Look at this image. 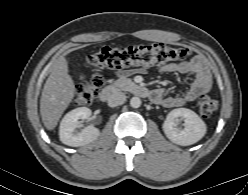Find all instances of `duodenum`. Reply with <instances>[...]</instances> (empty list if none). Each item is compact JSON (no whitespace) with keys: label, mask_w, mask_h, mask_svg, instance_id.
Wrapping results in <instances>:
<instances>
[{"label":"duodenum","mask_w":248,"mask_h":195,"mask_svg":"<svg viewBox=\"0 0 248 195\" xmlns=\"http://www.w3.org/2000/svg\"><path fill=\"white\" fill-rule=\"evenodd\" d=\"M128 88L136 96L147 97L150 95L149 89L146 86L141 85L139 83H135V82L129 83ZM116 93H117V86L115 85L105 86L100 92V99L103 102H110L115 97Z\"/></svg>","instance_id":"obj_1"}]
</instances>
